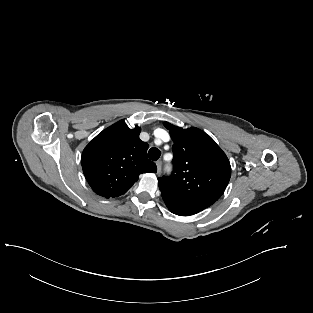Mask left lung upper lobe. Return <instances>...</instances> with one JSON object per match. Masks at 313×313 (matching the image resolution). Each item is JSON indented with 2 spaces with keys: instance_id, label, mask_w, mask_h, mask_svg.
<instances>
[{
  "instance_id": "5c2ea615",
  "label": "left lung upper lobe",
  "mask_w": 313,
  "mask_h": 313,
  "mask_svg": "<svg viewBox=\"0 0 313 313\" xmlns=\"http://www.w3.org/2000/svg\"><path fill=\"white\" fill-rule=\"evenodd\" d=\"M174 142L173 172L158 178L162 195L180 203L204 210L214 204L224 193L230 177V162L205 132L198 128L182 129L168 122Z\"/></svg>"
}]
</instances>
